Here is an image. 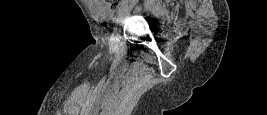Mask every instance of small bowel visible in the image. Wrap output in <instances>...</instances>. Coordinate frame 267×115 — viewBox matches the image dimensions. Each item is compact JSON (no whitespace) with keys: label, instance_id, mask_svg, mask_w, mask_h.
I'll list each match as a JSON object with an SVG mask.
<instances>
[{"label":"small bowel","instance_id":"obj_1","mask_svg":"<svg viewBox=\"0 0 267 115\" xmlns=\"http://www.w3.org/2000/svg\"><path fill=\"white\" fill-rule=\"evenodd\" d=\"M91 11L99 18H109L111 16L110 9L98 0H86Z\"/></svg>","mask_w":267,"mask_h":115}]
</instances>
